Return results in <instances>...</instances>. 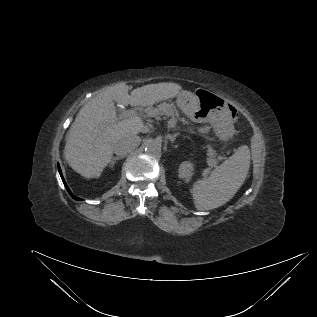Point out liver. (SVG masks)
I'll list each match as a JSON object with an SVG mask.
<instances>
[{
	"label": "liver",
	"mask_w": 317,
	"mask_h": 317,
	"mask_svg": "<svg viewBox=\"0 0 317 317\" xmlns=\"http://www.w3.org/2000/svg\"><path fill=\"white\" fill-rule=\"evenodd\" d=\"M120 83L109 87L88 101L78 112L66 136L64 156L69 166L86 178L99 177L113 155L119 139L141 132L142 120L117 121L114 102L127 106H152L176 97L182 87L176 83L148 84L128 93Z\"/></svg>",
	"instance_id": "liver-1"
}]
</instances>
